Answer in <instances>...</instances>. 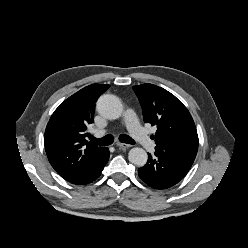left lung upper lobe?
<instances>
[{
  "label": "left lung upper lobe",
  "mask_w": 248,
  "mask_h": 248,
  "mask_svg": "<svg viewBox=\"0 0 248 248\" xmlns=\"http://www.w3.org/2000/svg\"><path fill=\"white\" fill-rule=\"evenodd\" d=\"M145 123L157 127L155 153L193 164L198 135L193 118L183 103L167 90L153 84L133 86Z\"/></svg>",
  "instance_id": "left-lung-upper-lobe-1"
}]
</instances>
